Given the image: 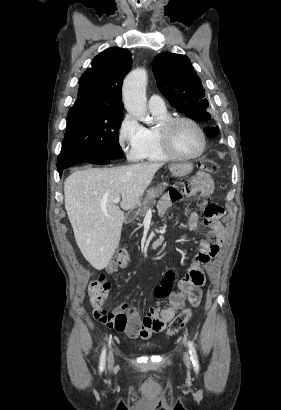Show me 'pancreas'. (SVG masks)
Segmentation results:
<instances>
[{
    "label": "pancreas",
    "mask_w": 281,
    "mask_h": 410,
    "mask_svg": "<svg viewBox=\"0 0 281 410\" xmlns=\"http://www.w3.org/2000/svg\"><path fill=\"white\" fill-rule=\"evenodd\" d=\"M166 186H167V183H161V184H157L156 187H152L147 190V194L141 204V210L139 212L140 216H143L145 212L147 211V209L153 204H155V198L162 195Z\"/></svg>",
    "instance_id": "obj_1"
}]
</instances>
